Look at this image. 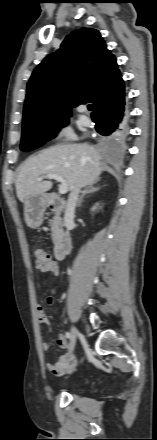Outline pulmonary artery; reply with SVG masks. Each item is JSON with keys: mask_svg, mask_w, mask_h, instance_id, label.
<instances>
[{"mask_svg": "<svg viewBox=\"0 0 157 440\" xmlns=\"http://www.w3.org/2000/svg\"><path fill=\"white\" fill-rule=\"evenodd\" d=\"M79 110H80L81 112H83V111H84V108H83V107H80ZM81 119H82L84 122H89V118H88L86 115H81Z\"/></svg>", "mask_w": 157, "mask_h": 440, "instance_id": "1", "label": "pulmonary artery"}]
</instances>
